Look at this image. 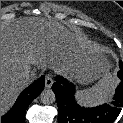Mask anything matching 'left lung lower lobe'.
<instances>
[{
  "label": "left lung lower lobe",
  "mask_w": 123,
  "mask_h": 123,
  "mask_svg": "<svg viewBox=\"0 0 123 123\" xmlns=\"http://www.w3.org/2000/svg\"><path fill=\"white\" fill-rule=\"evenodd\" d=\"M118 77L121 82L113 100L94 108H84L75 101V86L61 76L52 85L58 105V123H113L123 107V63L119 62Z\"/></svg>",
  "instance_id": "obj_1"
}]
</instances>
